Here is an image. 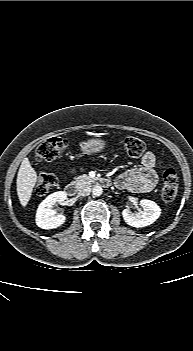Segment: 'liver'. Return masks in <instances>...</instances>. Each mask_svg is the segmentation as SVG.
Here are the masks:
<instances>
[{
    "mask_svg": "<svg viewBox=\"0 0 193 351\" xmlns=\"http://www.w3.org/2000/svg\"><path fill=\"white\" fill-rule=\"evenodd\" d=\"M37 182V173L31 166L29 159H23L17 174V195L20 204L25 207L32 195L33 188Z\"/></svg>",
    "mask_w": 193,
    "mask_h": 351,
    "instance_id": "6515ba94",
    "label": "liver"
}]
</instances>
